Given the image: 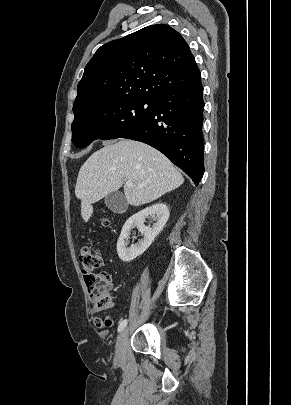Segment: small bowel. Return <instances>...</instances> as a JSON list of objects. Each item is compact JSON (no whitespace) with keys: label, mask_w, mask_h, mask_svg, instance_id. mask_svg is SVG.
Wrapping results in <instances>:
<instances>
[{"label":"small bowel","mask_w":291,"mask_h":405,"mask_svg":"<svg viewBox=\"0 0 291 405\" xmlns=\"http://www.w3.org/2000/svg\"><path fill=\"white\" fill-rule=\"evenodd\" d=\"M94 325L98 329L109 328V327H111L113 325V319L110 316L106 317L105 319H102L100 317H96L94 319Z\"/></svg>","instance_id":"small-bowel-1"}]
</instances>
